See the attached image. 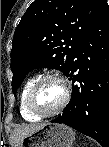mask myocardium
<instances>
[{
	"label": "myocardium",
	"mask_w": 109,
	"mask_h": 147,
	"mask_svg": "<svg viewBox=\"0 0 109 147\" xmlns=\"http://www.w3.org/2000/svg\"><path fill=\"white\" fill-rule=\"evenodd\" d=\"M48 80H56L60 82L64 88V96L61 103L56 108L47 112H42L34 107L33 99L39 87ZM69 100H70V85L67 78L60 73H50L41 76L40 78L36 79V81L33 83L32 87L30 88L26 96V108L28 112L34 115L35 117L38 118L51 117L62 112L67 106Z\"/></svg>",
	"instance_id": "f54148a6"
}]
</instances>
